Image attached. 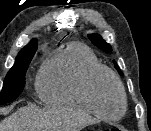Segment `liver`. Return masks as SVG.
Wrapping results in <instances>:
<instances>
[{
	"label": "liver",
	"instance_id": "liver-1",
	"mask_svg": "<svg viewBox=\"0 0 151 131\" xmlns=\"http://www.w3.org/2000/svg\"><path fill=\"white\" fill-rule=\"evenodd\" d=\"M95 119L71 108H19L0 122V131H80Z\"/></svg>",
	"mask_w": 151,
	"mask_h": 131
}]
</instances>
